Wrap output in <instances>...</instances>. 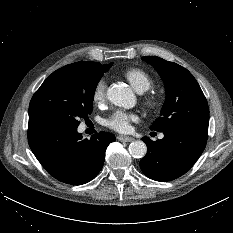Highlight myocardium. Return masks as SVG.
<instances>
[{"mask_svg": "<svg viewBox=\"0 0 233 233\" xmlns=\"http://www.w3.org/2000/svg\"><path fill=\"white\" fill-rule=\"evenodd\" d=\"M145 104L150 107V108H154L157 104L156 99L154 97H147L145 99Z\"/></svg>", "mask_w": 233, "mask_h": 233, "instance_id": "f54148a6", "label": "myocardium"}]
</instances>
